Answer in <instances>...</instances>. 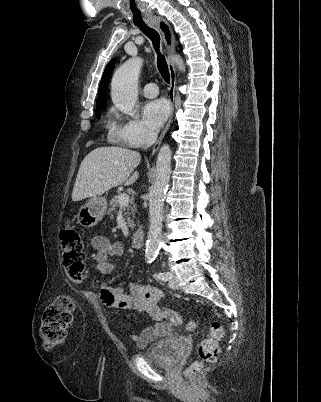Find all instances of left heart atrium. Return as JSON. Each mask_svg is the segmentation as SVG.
Here are the masks:
<instances>
[{"instance_id":"1","label":"left heart atrium","mask_w":321,"mask_h":402,"mask_svg":"<svg viewBox=\"0 0 321 402\" xmlns=\"http://www.w3.org/2000/svg\"><path fill=\"white\" fill-rule=\"evenodd\" d=\"M169 105L164 99L149 101L143 108V117L152 131H157L169 115Z\"/></svg>"}]
</instances>
